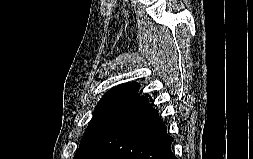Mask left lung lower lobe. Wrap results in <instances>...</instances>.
<instances>
[{"label":"left lung lower lobe","mask_w":253,"mask_h":159,"mask_svg":"<svg viewBox=\"0 0 253 159\" xmlns=\"http://www.w3.org/2000/svg\"><path fill=\"white\" fill-rule=\"evenodd\" d=\"M173 138L146 96H139L112 119L86 159H177Z\"/></svg>","instance_id":"0a47b994"}]
</instances>
